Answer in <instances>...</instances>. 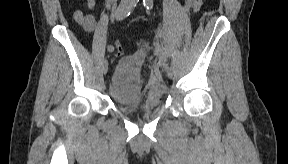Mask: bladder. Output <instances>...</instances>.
<instances>
[{
  "label": "bladder",
  "mask_w": 288,
  "mask_h": 164,
  "mask_svg": "<svg viewBox=\"0 0 288 164\" xmlns=\"http://www.w3.org/2000/svg\"><path fill=\"white\" fill-rule=\"evenodd\" d=\"M143 61L142 54H132L119 62L113 70L108 93L115 107L122 113L152 114L159 110L158 92L145 87L139 75Z\"/></svg>",
  "instance_id": "obj_1"
}]
</instances>
